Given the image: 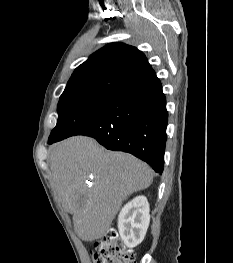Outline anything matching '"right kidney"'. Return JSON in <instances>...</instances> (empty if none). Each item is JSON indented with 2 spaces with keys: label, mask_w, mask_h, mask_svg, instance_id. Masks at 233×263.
Instances as JSON below:
<instances>
[{
  "label": "right kidney",
  "mask_w": 233,
  "mask_h": 263,
  "mask_svg": "<svg viewBox=\"0 0 233 263\" xmlns=\"http://www.w3.org/2000/svg\"><path fill=\"white\" fill-rule=\"evenodd\" d=\"M149 211V203L145 196H137L121 209L118 229L127 247L134 248L143 241L150 222Z\"/></svg>",
  "instance_id": "right-kidney-1"
}]
</instances>
